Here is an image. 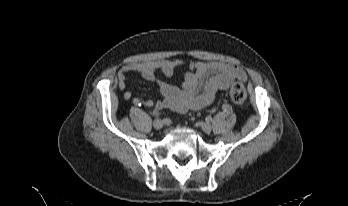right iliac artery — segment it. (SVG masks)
I'll list each match as a JSON object with an SVG mask.
<instances>
[{
	"label": "right iliac artery",
	"instance_id": "right-iliac-artery-1",
	"mask_svg": "<svg viewBox=\"0 0 348 206\" xmlns=\"http://www.w3.org/2000/svg\"><path fill=\"white\" fill-rule=\"evenodd\" d=\"M132 102L134 103V105L138 108H142L145 109V106H142L141 102L138 100L137 97H132ZM157 116V115H156Z\"/></svg>",
	"mask_w": 348,
	"mask_h": 206
}]
</instances>
